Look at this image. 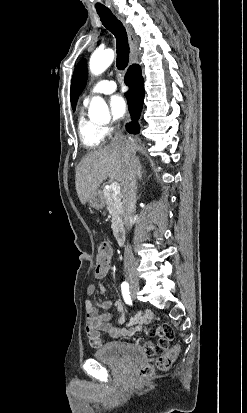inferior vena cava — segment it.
<instances>
[{
  "instance_id": "obj_1",
  "label": "inferior vena cava",
  "mask_w": 247,
  "mask_h": 413,
  "mask_svg": "<svg viewBox=\"0 0 247 413\" xmlns=\"http://www.w3.org/2000/svg\"><path fill=\"white\" fill-rule=\"evenodd\" d=\"M111 142L124 144L126 150L125 168L122 174V200L125 229H131L136 211L137 174L141 170L140 162L135 156L137 144L135 138L124 136L122 130H116ZM124 271L128 283H138L136 265L130 245H126L124 251Z\"/></svg>"
}]
</instances>
